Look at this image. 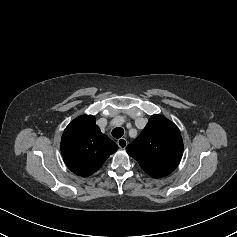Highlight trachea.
Here are the masks:
<instances>
[{"label": "trachea", "mask_w": 237, "mask_h": 237, "mask_svg": "<svg viewBox=\"0 0 237 237\" xmlns=\"http://www.w3.org/2000/svg\"><path fill=\"white\" fill-rule=\"evenodd\" d=\"M124 134V129L121 127H116L112 130V136L114 138H121Z\"/></svg>", "instance_id": "obj_1"}]
</instances>
